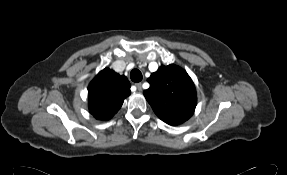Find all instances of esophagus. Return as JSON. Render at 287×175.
Listing matches in <instances>:
<instances>
[{
    "label": "esophagus",
    "instance_id": "esophagus-1",
    "mask_svg": "<svg viewBox=\"0 0 287 175\" xmlns=\"http://www.w3.org/2000/svg\"><path fill=\"white\" fill-rule=\"evenodd\" d=\"M135 85L139 91H142V83L141 82L136 83Z\"/></svg>",
    "mask_w": 287,
    "mask_h": 175
}]
</instances>
